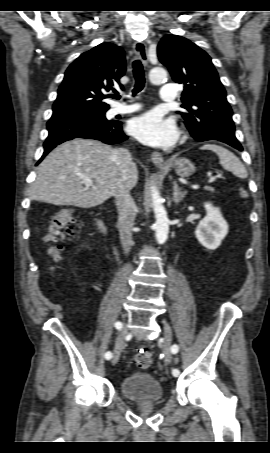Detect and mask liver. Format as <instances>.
<instances>
[{"mask_svg": "<svg viewBox=\"0 0 270 453\" xmlns=\"http://www.w3.org/2000/svg\"><path fill=\"white\" fill-rule=\"evenodd\" d=\"M113 148L89 139H74L52 150L37 169L30 199L57 206L91 208L116 196L121 187L133 189L136 164L124 174L112 159ZM78 174L94 181L86 186Z\"/></svg>", "mask_w": 270, "mask_h": 453, "instance_id": "obj_1", "label": "liver"}]
</instances>
